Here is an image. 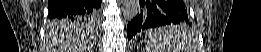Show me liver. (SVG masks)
Returning a JSON list of instances; mask_svg holds the SVG:
<instances>
[{
  "label": "liver",
  "instance_id": "liver-1",
  "mask_svg": "<svg viewBox=\"0 0 261 52\" xmlns=\"http://www.w3.org/2000/svg\"><path fill=\"white\" fill-rule=\"evenodd\" d=\"M87 33L81 28L76 29L73 25H60L50 23L47 38L51 46L58 47L59 52H86L84 45Z\"/></svg>",
  "mask_w": 261,
  "mask_h": 52
}]
</instances>
